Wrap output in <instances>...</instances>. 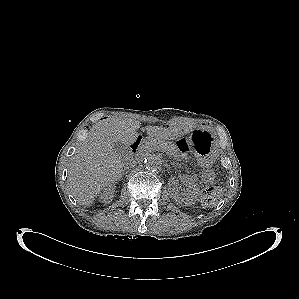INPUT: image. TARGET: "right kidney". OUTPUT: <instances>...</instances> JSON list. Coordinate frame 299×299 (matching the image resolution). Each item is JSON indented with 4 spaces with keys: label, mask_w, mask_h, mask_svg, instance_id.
<instances>
[{
    "label": "right kidney",
    "mask_w": 299,
    "mask_h": 299,
    "mask_svg": "<svg viewBox=\"0 0 299 299\" xmlns=\"http://www.w3.org/2000/svg\"><path fill=\"white\" fill-rule=\"evenodd\" d=\"M114 188L113 187H109V188H104L101 195H100V200L103 203H109L110 201H112V198L114 197Z\"/></svg>",
    "instance_id": "obj_1"
}]
</instances>
